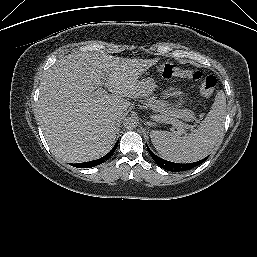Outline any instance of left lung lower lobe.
<instances>
[{
  "instance_id": "obj_1",
  "label": "left lung lower lobe",
  "mask_w": 257,
  "mask_h": 257,
  "mask_svg": "<svg viewBox=\"0 0 257 257\" xmlns=\"http://www.w3.org/2000/svg\"><path fill=\"white\" fill-rule=\"evenodd\" d=\"M148 152L150 153L151 157L153 158V160L163 169L167 170V171H171V172H180V171H186V170H190L200 164H202L208 157L194 162V163H188V164H179V163H174V162H170L167 160H164L160 157H158L157 155H155L147 146Z\"/></svg>"
}]
</instances>
